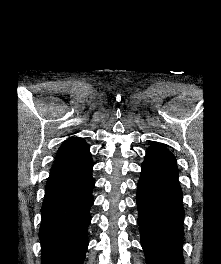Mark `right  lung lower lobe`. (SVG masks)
Returning <instances> with one entry per match:
<instances>
[{
	"label": "right lung lower lobe",
	"instance_id": "right-lung-lower-lobe-1",
	"mask_svg": "<svg viewBox=\"0 0 221 264\" xmlns=\"http://www.w3.org/2000/svg\"><path fill=\"white\" fill-rule=\"evenodd\" d=\"M92 167L90 153L52 166L41 208V264H83L94 201Z\"/></svg>",
	"mask_w": 221,
	"mask_h": 264
}]
</instances>
